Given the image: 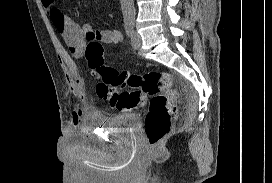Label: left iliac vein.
<instances>
[{
	"label": "left iliac vein",
	"instance_id": "4c4485c4",
	"mask_svg": "<svg viewBox=\"0 0 272 183\" xmlns=\"http://www.w3.org/2000/svg\"><path fill=\"white\" fill-rule=\"evenodd\" d=\"M132 47L134 49H139L141 46V37L137 32H133L132 40H131Z\"/></svg>",
	"mask_w": 272,
	"mask_h": 183
}]
</instances>
